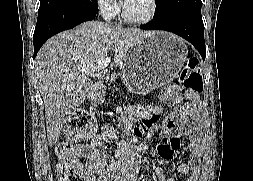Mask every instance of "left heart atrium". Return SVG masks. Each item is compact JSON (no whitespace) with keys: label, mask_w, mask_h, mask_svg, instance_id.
Instances as JSON below:
<instances>
[{"label":"left heart atrium","mask_w":253,"mask_h":181,"mask_svg":"<svg viewBox=\"0 0 253 181\" xmlns=\"http://www.w3.org/2000/svg\"><path fill=\"white\" fill-rule=\"evenodd\" d=\"M121 1H122V5L125 6L129 0H121Z\"/></svg>","instance_id":"left-heart-atrium-1"}]
</instances>
